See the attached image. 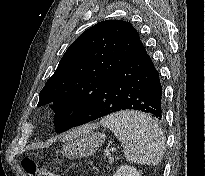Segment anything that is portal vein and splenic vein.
Listing matches in <instances>:
<instances>
[{"mask_svg": "<svg viewBox=\"0 0 205 176\" xmlns=\"http://www.w3.org/2000/svg\"><path fill=\"white\" fill-rule=\"evenodd\" d=\"M115 150H116L115 148L110 149L111 152H114ZM106 155H109V152H107Z\"/></svg>", "mask_w": 205, "mask_h": 176, "instance_id": "obj_1", "label": "portal vein and splenic vein"}]
</instances>
